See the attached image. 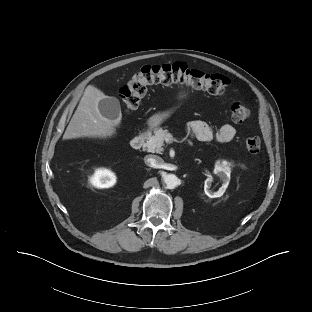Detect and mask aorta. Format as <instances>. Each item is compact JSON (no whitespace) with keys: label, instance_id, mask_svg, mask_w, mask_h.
Segmentation results:
<instances>
[{"label":"aorta","instance_id":"obj_1","mask_svg":"<svg viewBox=\"0 0 312 312\" xmlns=\"http://www.w3.org/2000/svg\"><path fill=\"white\" fill-rule=\"evenodd\" d=\"M163 181L166 184V187L168 189H174L178 186L179 184V179L176 175L174 174H166L163 176Z\"/></svg>","mask_w":312,"mask_h":312}]
</instances>
